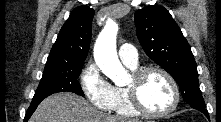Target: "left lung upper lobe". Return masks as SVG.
I'll use <instances>...</instances> for the list:
<instances>
[{"label":"left lung upper lobe","mask_w":221,"mask_h":122,"mask_svg":"<svg viewBox=\"0 0 221 122\" xmlns=\"http://www.w3.org/2000/svg\"><path fill=\"white\" fill-rule=\"evenodd\" d=\"M134 17L137 37L146 54L176 80L186 103L205 106L195 59L170 13L161 6H147Z\"/></svg>","instance_id":"5c2ea615"}]
</instances>
